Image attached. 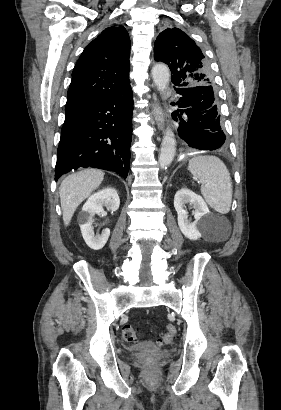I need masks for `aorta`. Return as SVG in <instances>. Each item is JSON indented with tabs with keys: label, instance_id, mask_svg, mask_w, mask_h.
<instances>
[{
	"label": "aorta",
	"instance_id": "aorta-1",
	"mask_svg": "<svg viewBox=\"0 0 281 410\" xmlns=\"http://www.w3.org/2000/svg\"><path fill=\"white\" fill-rule=\"evenodd\" d=\"M152 78L155 86L160 92H164L170 80V71L165 64H156L152 68ZM176 150V140L171 128H167L163 136L159 154V165L167 168L173 161Z\"/></svg>",
	"mask_w": 281,
	"mask_h": 410
}]
</instances>
